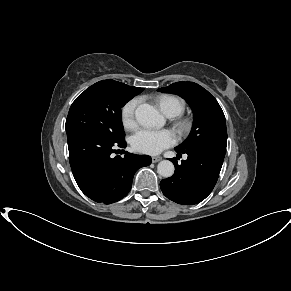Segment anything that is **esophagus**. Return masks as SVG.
Masks as SVG:
<instances>
[{
    "mask_svg": "<svg viewBox=\"0 0 291 291\" xmlns=\"http://www.w3.org/2000/svg\"><path fill=\"white\" fill-rule=\"evenodd\" d=\"M162 160V157H160V156H153L152 157V162L153 163H157V162H159V161H161Z\"/></svg>",
    "mask_w": 291,
    "mask_h": 291,
    "instance_id": "obj_1",
    "label": "esophagus"
}]
</instances>
